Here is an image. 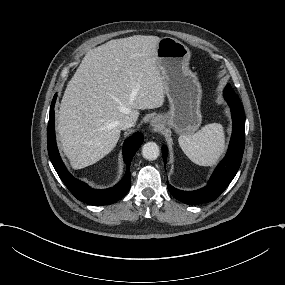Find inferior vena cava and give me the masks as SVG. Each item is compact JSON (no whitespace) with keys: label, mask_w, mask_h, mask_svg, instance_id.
<instances>
[{"label":"inferior vena cava","mask_w":285,"mask_h":285,"mask_svg":"<svg viewBox=\"0 0 285 285\" xmlns=\"http://www.w3.org/2000/svg\"><path fill=\"white\" fill-rule=\"evenodd\" d=\"M134 124V119L129 116V115H126L124 116L122 119L119 120L118 122V126L124 130V129H127L129 127H132Z\"/></svg>","instance_id":"1"}]
</instances>
